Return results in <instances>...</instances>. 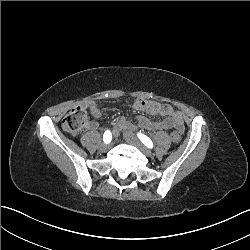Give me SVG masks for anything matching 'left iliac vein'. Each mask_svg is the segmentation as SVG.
Segmentation results:
<instances>
[{"mask_svg": "<svg viewBox=\"0 0 250 250\" xmlns=\"http://www.w3.org/2000/svg\"><path fill=\"white\" fill-rule=\"evenodd\" d=\"M123 136L127 142L138 147L145 156L149 157L152 155L150 149L146 147L141 141H139L137 137L131 133V131H129V129L124 130Z\"/></svg>", "mask_w": 250, "mask_h": 250, "instance_id": "4c4485c4", "label": "left iliac vein"}]
</instances>
